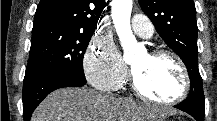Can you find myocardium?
<instances>
[{
  "label": "myocardium",
  "mask_w": 217,
  "mask_h": 121,
  "mask_svg": "<svg viewBox=\"0 0 217 121\" xmlns=\"http://www.w3.org/2000/svg\"><path fill=\"white\" fill-rule=\"evenodd\" d=\"M148 56L151 58H161V57L170 58L174 62V64L176 65V67L178 68L180 72L181 81H182L181 89L174 97L170 99H167V100L157 99L147 94L141 88L133 70L130 69V81H131V86H132L134 93L142 100L153 103V104H157V105L170 106V105H175L181 102L182 100H184L190 91L191 81H190L189 72L183 60L174 52L170 50H165V49L154 50L150 52Z\"/></svg>",
  "instance_id": "f54148a6"
}]
</instances>
